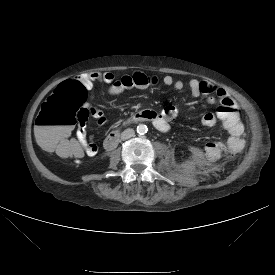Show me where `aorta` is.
<instances>
[{
	"instance_id": "obj_1",
	"label": "aorta",
	"mask_w": 275,
	"mask_h": 275,
	"mask_svg": "<svg viewBox=\"0 0 275 275\" xmlns=\"http://www.w3.org/2000/svg\"><path fill=\"white\" fill-rule=\"evenodd\" d=\"M147 131H148V128H147L146 125H144V124H139V125L137 126V133H138V134L143 135V134L147 133Z\"/></svg>"
}]
</instances>
